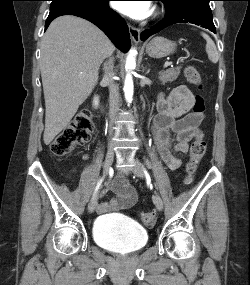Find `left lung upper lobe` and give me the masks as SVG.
Segmentation results:
<instances>
[{
	"mask_svg": "<svg viewBox=\"0 0 250 285\" xmlns=\"http://www.w3.org/2000/svg\"><path fill=\"white\" fill-rule=\"evenodd\" d=\"M166 7V16L176 17L190 11H201L212 14L209 6L211 0H157Z\"/></svg>",
	"mask_w": 250,
	"mask_h": 285,
	"instance_id": "5c2ea615",
	"label": "left lung upper lobe"
}]
</instances>
